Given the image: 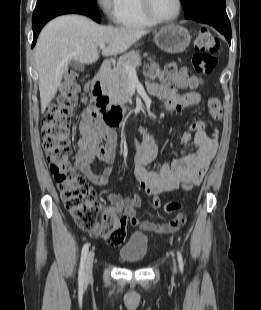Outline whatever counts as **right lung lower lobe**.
Wrapping results in <instances>:
<instances>
[{
	"label": "right lung lower lobe",
	"mask_w": 261,
	"mask_h": 310,
	"mask_svg": "<svg viewBox=\"0 0 261 310\" xmlns=\"http://www.w3.org/2000/svg\"><path fill=\"white\" fill-rule=\"evenodd\" d=\"M72 12H66V11H54V12H49L46 13L42 16H40L39 18H37L36 20L32 21V27H33V43H32V47L35 45L37 37L39 35L40 30L42 29V27L52 18L62 15V14H69Z\"/></svg>",
	"instance_id": "right-lung-lower-lobe-1"
}]
</instances>
